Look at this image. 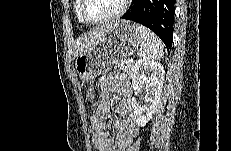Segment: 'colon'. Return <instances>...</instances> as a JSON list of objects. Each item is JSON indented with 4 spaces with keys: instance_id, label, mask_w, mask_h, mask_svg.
I'll use <instances>...</instances> for the list:
<instances>
[{
    "instance_id": "colon-1",
    "label": "colon",
    "mask_w": 231,
    "mask_h": 151,
    "mask_svg": "<svg viewBox=\"0 0 231 151\" xmlns=\"http://www.w3.org/2000/svg\"><path fill=\"white\" fill-rule=\"evenodd\" d=\"M89 98H90V99H93V94H92V92L89 93Z\"/></svg>"
}]
</instances>
